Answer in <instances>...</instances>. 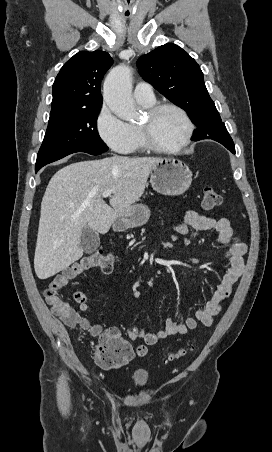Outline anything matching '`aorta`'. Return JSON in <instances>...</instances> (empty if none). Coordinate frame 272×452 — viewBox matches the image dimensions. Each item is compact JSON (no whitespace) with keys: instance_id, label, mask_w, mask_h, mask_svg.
I'll return each instance as SVG.
<instances>
[{"instance_id":"1","label":"aorta","mask_w":272,"mask_h":452,"mask_svg":"<svg viewBox=\"0 0 272 452\" xmlns=\"http://www.w3.org/2000/svg\"><path fill=\"white\" fill-rule=\"evenodd\" d=\"M132 73L127 66L112 69L103 85V99L108 108L120 119L130 121L137 117L131 94Z\"/></svg>"}]
</instances>
